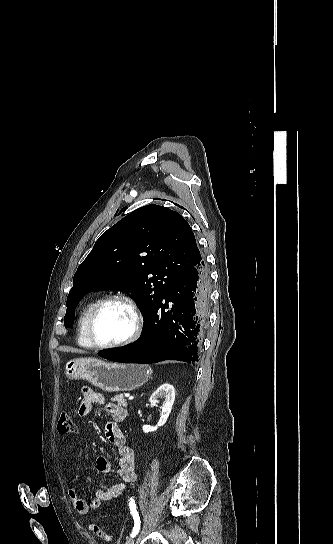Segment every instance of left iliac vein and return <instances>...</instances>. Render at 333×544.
<instances>
[{"label":"left iliac vein","instance_id":"left-iliac-vein-1","mask_svg":"<svg viewBox=\"0 0 333 544\" xmlns=\"http://www.w3.org/2000/svg\"><path fill=\"white\" fill-rule=\"evenodd\" d=\"M134 541H135L134 537L133 538L131 537V538L127 539L125 544H134Z\"/></svg>","mask_w":333,"mask_h":544}]
</instances>
